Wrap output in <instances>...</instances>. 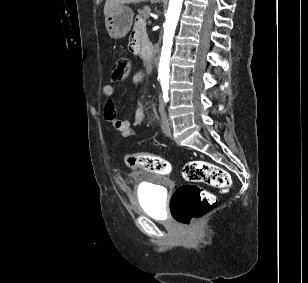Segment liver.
<instances>
[{"mask_svg": "<svg viewBox=\"0 0 308 283\" xmlns=\"http://www.w3.org/2000/svg\"><path fill=\"white\" fill-rule=\"evenodd\" d=\"M147 0H106L105 6H104V15L107 16L108 13L114 9L115 7L119 5L129 4V3H140V2H146ZM152 2H155L157 0H151Z\"/></svg>", "mask_w": 308, "mask_h": 283, "instance_id": "1", "label": "liver"}]
</instances>
